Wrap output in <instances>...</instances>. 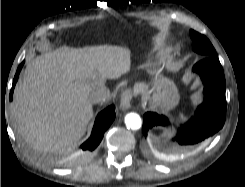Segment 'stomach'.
<instances>
[{
	"mask_svg": "<svg viewBox=\"0 0 245 187\" xmlns=\"http://www.w3.org/2000/svg\"><path fill=\"white\" fill-rule=\"evenodd\" d=\"M153 77L143 87L136 91L142 94L144 100L154 106H163L166 109H173L179 103L178 90L169 78L163 76L159 71H149Z\"/></svg>",
	"mask_w": 245,
	"mask_h": 187,
	"instance_id": "stomach-1",
	"label": "stomach"
}]
</instances>
